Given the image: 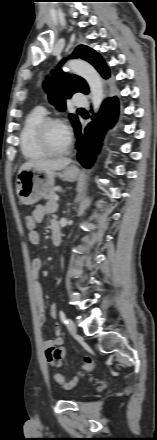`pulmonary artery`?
<instances>
[{"label":"pulmonary artery","instance_id":"obj_1","mask_svg":"<svg viewBox=\"0 0 157 440\" xmlns=\"http://www.w3.org/2000/svg\"><path fill=\"white\" fill-rule=\"evenodd\" d=\"M73 104L76 106H87V100L84 94L75 93L72 100ZM45 112L44 109H41Z\"/></svg>","mask_w":157,"mask_h":440}]
</instances>
